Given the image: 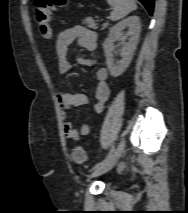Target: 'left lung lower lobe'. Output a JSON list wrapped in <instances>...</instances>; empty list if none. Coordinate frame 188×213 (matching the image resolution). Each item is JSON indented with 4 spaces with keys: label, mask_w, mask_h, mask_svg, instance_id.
<instances>
[{
    "label": "left lung lower lobe",
    "mask_w": 188,
    "mask_h": 213,
    "mask_svg": "<svg viewBox=\"0 0 188 213\" xmlns=\"http://www.w3.org/2000/svg\"><path fill=\"white\" fill-rule=\"evenodd\" d=\"M148 10L150 15L153 13V8H154V0H139Z\"/></svg>",
    "instance_id": "obj_1"
}]
</instances>
